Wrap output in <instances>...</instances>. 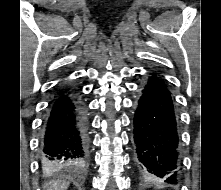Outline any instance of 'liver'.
Here are the masks:
<instances>
[{
    "instance_id": "obj_1",
    "label": "liver",
    "mask_w": 221,
    "mask_h": 190,
    "mask_svg": "<svg viewBox=\"0 0 221 190\" xmlns=\"http://www.w3.org/2000/svg\"><path fill=\"white\" fill-rule=\"evenodd\" d=\"M53 183L52 189L50 190H65L69 186V182L58 180L56 182H50L47 187Z\"/></svg>"
}]
</instances>
